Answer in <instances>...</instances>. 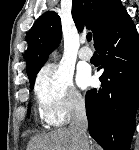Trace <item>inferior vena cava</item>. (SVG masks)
<instances>
[{
  "label": "inferior vena cava",
  "mask_w": 139,
  "mask_h": 150,
  "mask_svg": "<svg viewBox=\"0 0 139 150\" xmlns=\"http://www.w3.org/2000/svg\"><path fill=\"white\" fill-rule=\"evenodd\" d=\"M88 121L85 110V103L81 98H74L73 117L70 130L78 144V150H88L89 140L87 136Z\"/></svg>",
  "instance_id": "inferior-vena-cava-1"
}]
</instances>
